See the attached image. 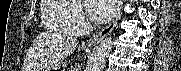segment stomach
Wrapping results in <instances>:
<instances>
[{"instance_id":"0dacf381","label":"stomach","mask_w":181,"mask_h":71,"mask_svg":"<svg viewBox=\"0 0 181 71\" xmlns=\"http://www.w3.org/2000/svg\"><path fill=\"white\" fill-rule=\"evenodd\" d=\"M65 71V68L61 65V64H56V65H53V66H50L48 68H46L45 71Z\"/></svg>"}]
</instances>
